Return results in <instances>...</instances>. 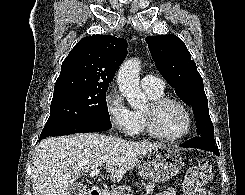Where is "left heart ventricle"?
<instances>
[{"instance_id": "obj_1", "label": "left heart ventricle", "mask_w": 245, "mask_h": 195, "mask_svg": "<svg viewBox=\"0 0 245 195\" xmlns=\"http://www.w3.org/2000/svg\"><path fill=\"white\" fill-rule=\"evenodd\" d=\"M149 105L144 109L146 111ZM155 127L163 135L174 136L185 128L187 118L182 108L176 104H167L155 116Z\"/></svg>"}]
</instances>
